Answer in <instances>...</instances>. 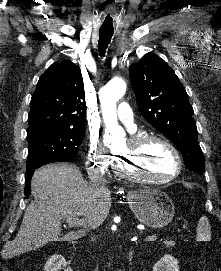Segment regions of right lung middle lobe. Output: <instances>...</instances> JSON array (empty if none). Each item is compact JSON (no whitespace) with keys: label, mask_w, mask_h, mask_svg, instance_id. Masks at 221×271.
<instances>
[{"label":"right lung middle lobe","mask_w":221,"mask_h":271,"mask_svg":"<svg viewBox=\"0 0 221 271\" xmlns=\"http://www.w3.org/2000/svg\"><path fill=\"white\" fill-rule=\"evenodd\" d=\"M85 130L38 127L27 130L28 158L26 169L67 161L74 162Z\"/></svg>","instance_id":"1"}]
</instances>
